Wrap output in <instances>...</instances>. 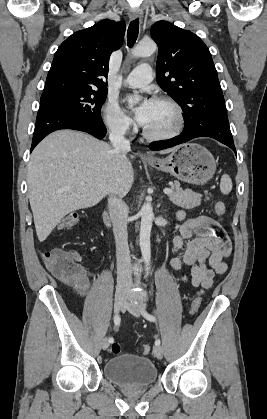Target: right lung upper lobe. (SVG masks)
Returning <instances> with one entry per match:
<instances>
[{
  "label": "right lung upper lobe",
  "instance_id": "cb5924a9",
  "mask_svg": "<svg viewBox=\"0 0 267 419\" xmlns=\"http://www.w3.org/2000/svg\"><path fill=\"white\" fill-rule=\"evenodd\" d=\"M124 22L102 20L68 37L55 53L44 92L60 89L107 90L111 53L124 39Z\"/></svg>",
  "mask_w": 267,
  "mask_h": 419
}]
</instances>
